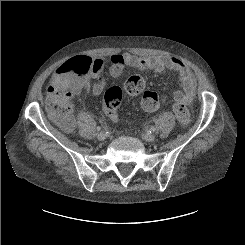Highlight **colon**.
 <instances>
[{
	"label": "colon",
	"mask_w": 245,
	"mask_h": 245,
	"mask_svg": "<svg viewBox=\"0 0 245 245\" xmlns=\"http://www.w3.org/2000/svg\"><path fill=\"white\" fill-rule=\"evenodd\" d=\"M63 72L70 78L66 86L78 84L81 81L89 80L91 77H101L103 66L99 61L85 56L76 55L70 58L63 67ZM145 89V80L140 75L129 77L123 89L119 87L109 88L104 95V110L106 116L115 121L117 119V110L123 99V92L129 96H136ZM169 100L167 95L159 94L154 91H145L142 96L141 105L147 112L157 110ZM46 105L51 119L63 130L69 131L74 127L72 116L71 95L68 90H64L60 82H54L51 89L46 94ZM172 107L175 115L182 127L188 125L190 114L187 104L182 98H176L172 101Z\"/></svg>",
	"instance_id": "1"
}]
</instances>
